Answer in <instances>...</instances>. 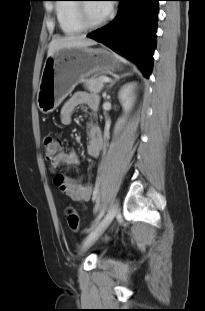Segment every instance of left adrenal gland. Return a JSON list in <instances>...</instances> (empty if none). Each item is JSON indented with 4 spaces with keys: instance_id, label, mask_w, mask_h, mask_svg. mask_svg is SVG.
Segmentation results:
<instances>
[{
    "instance_id": "left-adrenal-gland-1",
    "label": "left adrenal gland",
    "mask_w": 205,
    "mask_h": 311,
    "mask_svg": "<svg viewBox=\"0 0 205 311\" xmlns=\"http://www.w3.org/2000/svg\"><path fill=\"white\" fill-rule=\"evenodd\" d=\"M128 75H132V72H127V73L118 75V76L110 83V85L107 87V90H109L110 88H112V86H113L117 81H119L120 78H123V77L128 76Z\"/></svg>"
}]
</instances>
